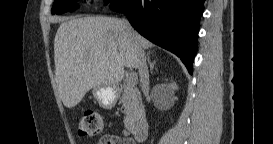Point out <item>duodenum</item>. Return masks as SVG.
<instances>
[{
    "label": "duodenum",
    "mask_w": 273,
    "mask_h": 144,
    "mask_svg": "<svg viewBox=\"0 0 273 144\" xmlns=\"http://www.w3.org/2000/svg\"><path fill=\"white\" fill-rule=\"evenodd\" d=\"M134 139L137 142L146 140L149 133V125L146 117H141L131 128Z\"/></svg>",
    "instance_id": "obj_1"
}]
</instances>
